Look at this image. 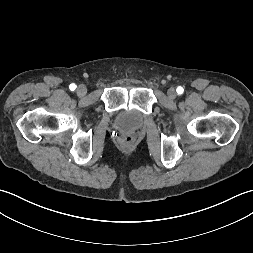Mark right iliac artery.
Returning <instances> with one entry per match:
<instances>
[{
    "mask_svg": "<svg viewBox=\"0 0 253 253\" xmlns=\"http://www.w3.org/2000/svg\"><path fill=\"white\" fill-rule=\"evenodd\" d=\"M76 85L75 84H70L69 88L71 91H74L76 89Z\"/></svg>",
    "mask_w": 253,
    "mask_h": 253,
    "instance_id": "right-iliac-artery-1",
    "label": "right iliac artery"
}]
</instances>
